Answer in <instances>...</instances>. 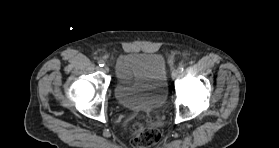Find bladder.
Segmentation results:
<instances>
[{
	"mask_svg": "<svg viewBox=\"0 0 279 148\" xmlns=\"http://www.w3.org/2000/svg\"><path fill=\"white\" fill-rule=\"evenodd\" d=\"M121 64L132 76L127 84L118 75L113 92L116 100L129 108L159 107L167 98V70L164 58L156 53L132 52L124 55Z\"/></svg>",
	"mask_w": 279,
	"mask_h": 148,
	"instance_id": "1",
	"label": "bladder"
}]
</instances>
